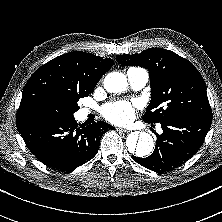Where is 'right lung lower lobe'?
Instances as JSON below:
<instances>
[{"instance_id": "1", "label": "right lung lower lobe", "mask_w": 222, "mask_h": 222, "mask_svg": "<svg viewBox=\"0 0 222 222\" xmlns=\"http://www.w3.org/2000/svg\"><path fill=\"white\" fill-rule=\"evenodd\" d=\"M28 149L42 163L56 170L71 171L90 161L110 124L97 121L85 126L75 119L35 116L16 121Z\"/></svg>"}]
</instances>
